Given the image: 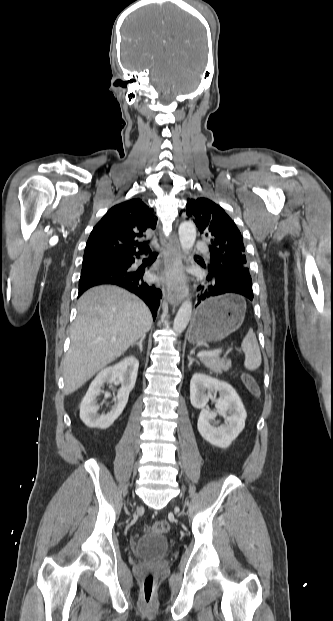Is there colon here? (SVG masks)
I'll return each mask as SVG.
<instances>
[{"mask_svg":"<svg viewBox=\"0 0 333 621\" xmlns=\"http://www.w3.org/2000/svg\"><path fill=\"white\" fill-rule=\"evenodd\" d=\"M242 381L246 389L254 396H258L260 389L255 378L248 374H242ZM169 530V525L164 520H158L152 523L147 531L154 534H165ZM154 594V576L152 573H147L144 579L142 587V599L145 603H150L153 600Z\"/></svg>","mask_w":333,"mask_h":621,"instance_id":"obj_1","label":"colon"}]
</instances>
